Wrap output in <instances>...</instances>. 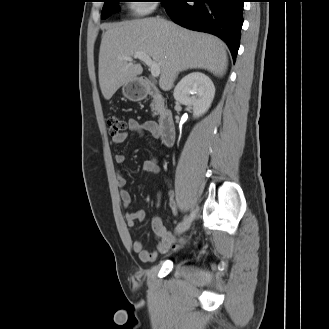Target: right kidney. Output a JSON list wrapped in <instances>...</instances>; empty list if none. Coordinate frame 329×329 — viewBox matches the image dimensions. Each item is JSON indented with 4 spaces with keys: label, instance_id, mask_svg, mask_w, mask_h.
Returning <instances> with one entry per match:
<instances>
[{
    "label": "right kidney",
    "instance_id": "right-kidney-1",
    "mask_svg": "<svg viewBox=\"0 0 329 329\" xmlns=\"http://www.w3.org/2000/svg\"><path fill=\"white\" fill-rule=\"evenodd\" d=\"M173 95L181 104L192 106L193 116L197 118L209 109L215 95V87L204 73L192 72L177 84Z\"/></svg>",
    "mask_w": 329,
    "mask_h": 329
}]
</instances>
